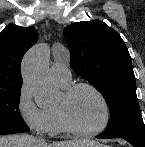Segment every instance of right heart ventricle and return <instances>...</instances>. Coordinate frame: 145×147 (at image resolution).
Instances as JSON below:
<instances>
[{"label": "right heart ventricle", "mask_w": 145, "mask_h": 147, "mask_svg": "<svg viewBox=\"0 0 145 147\" xmlns=\"http://www.w3.org/2000/svg\"><path fill=\"white\" fill-rule=\"evenodd\" d=\"M59 85L62 88L68 87V83L67 84L59 83ZM46 110H47L49 120H50L49 133H51L52 135H57V134L64 133L65 130L63 129V127H62V125H61V123L59 121V118H58L57 112L55 110V107H48V108H46Z\"/></svg>", "instance_id": "obj_1"}]
</instances>
